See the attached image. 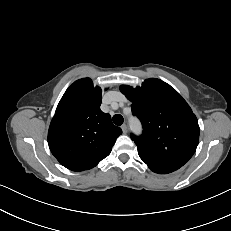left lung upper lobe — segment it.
<instances>
[{
  "label": "left lung upper lobe",
  "instance_id": "left-lung-upper-lobe-1",
  "mask_svg": "<svg viewBox=\"0 0 231 231\" xmlns=\"http://www.w3.org/2000/svg\"><path fill=\"white\" fill-rule=\"evenodd\" d=\"M120 91L132 102V113L142 122L143 134H131L140 158L151 170L170 173L182 167L195 153L199 125L183 97L156 78L135 89L122 85Z\"/></svg>",
  "mask_w": 231,
  "mask_h": 231
}]
</instances>
